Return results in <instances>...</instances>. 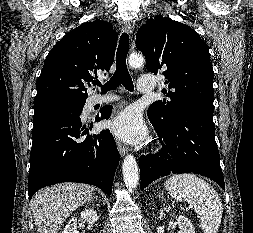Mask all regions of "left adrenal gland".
Here are the masks:
<instances>
[{
  "instance_id": "obj_1",
  "label": "left adrenal gland",
  "mask_w": 253,
  "mask_h": 233,
  "mask_svg": "<svg viewBox=\"0 0 253 233\" xmlns=\"http://www.w3.org/2000/svg\"><path fill=\"white\" fill-rule=\"evenodd\" d=\"M159 198H161L163 200L164 199V194L163 193L159 194Z\"/></svg>"
}]
</instances>
